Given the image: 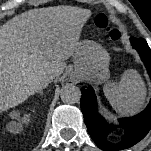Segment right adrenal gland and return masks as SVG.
Listing matches in <instances>:
<instances>
[{"label":"right adrenal gland","mask_w":151,"mask_h":151,"mask_svg":"<svg viewBox=\"0 0 151 151\" xmlns=\"http://www.w3.org/2000/svg\"><path fill=\"white\" fill-rule=\"evenodd\" d=\"M47 86V85H46ZM45 86V87H46ZM38 93L40 94V95H44V93L42 92V90H40V91H38Z\"/></svg>","instance_id":"2a0ac1e0"}]
</instances>
